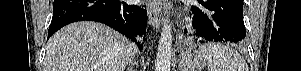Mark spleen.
<instances>
[{
	"instance_id": "spleen-1",
	"label": "spleen",
	"mask_w": 301,
	"mask_h": 71,
	"mask_svg": "<svg viewBox=\"0 0 301 71\" xmlns=\"http://www.w3.org/2000/svg\"><path fill=\"white\" fill-rule=\"evenodd\" d=\"M198 52L208 64V71H248L240 53L228 45L210 42L201 45Z\"/></svg>"
}]
</instances>
